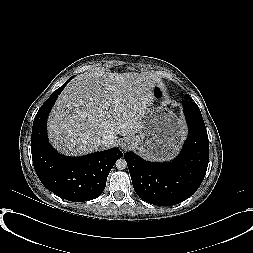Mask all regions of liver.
<instances>
[{"label": "liver", "instance_id": "1", "mask_svg": "<svg viewBox=\"0 0 253 253\" xmlns=\"http://www.w3.org/2000/svg\"><path fill=\"white\" fill-rule=\"evenodd\" d=\"M154 81L142 73L89 72L66 86L53 108L49 138L65 155H84L118 145V135L141 128L145 109L154 100ZM103 136L111 144H101Z\"/></svg>", "mask_w": 253, "mask_h": 253}]
</instances>
